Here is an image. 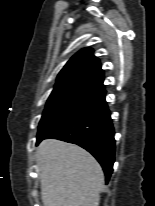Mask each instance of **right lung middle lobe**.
<instances>
[{
    "label": "right lung middle lobe",
    "mask_w": 155,
    "mask_h": 206,
    "mask_svg": "<svg viewBox=\"0 0 155 206\" xmlns=\"http://www.w3.org/2000/svg\"><path fill=\"white\" fill-rule=\"evenodd\" d=\"M105 100V93L89 88L53 90L39 123L40 139L95 108Z\"/></svg>",
    "instance_id": "obj_1"
}]
</instances>
